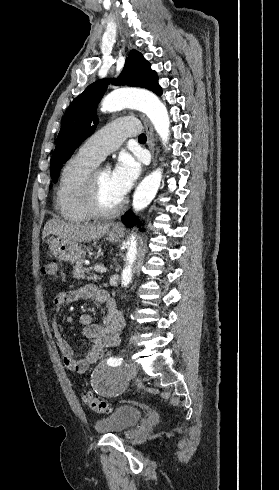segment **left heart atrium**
<instances>
[{
    "mask_svg": "<svg viewBox=\"0 0 279 490\" xmlns=\"http://www.w3.org/2000/svg\"><path fill=\"white\" fill-rule=\"evenodd\" d=\"M140 173L141 165L136 158L127 154L118 158L110 177L114 192L118 198L123 199L125 197L135 184Z\"/></svg>",
    "mask_w": 279,
    "mask_h": 490,
    "instance_id": "obj_1",
    "label": "left heart atrium"
}]
</instances>
